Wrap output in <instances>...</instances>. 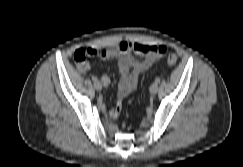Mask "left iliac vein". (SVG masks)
Masks as SVG:
<instances>
[{"mask_svg":"<svg viewBox=\"0 0 243 167\" xmlns=\"http://www.w3.org/2000/svg\"><path fill=\"white\" fill-rule=\"evenodd\" d=\"M158 84L157 83H153L151 86H150V94L151 95H155L157 92H158Z\"/></svg>","mask_w":243,"mask_h":167,"instance_id":"left-iliac-vein-1","label":"left iliac vein"}]
</instances>
